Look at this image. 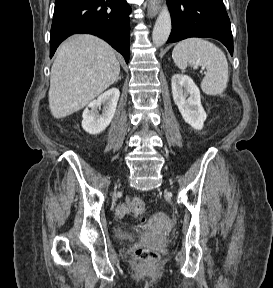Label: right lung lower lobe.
<instances>
[{
    "label": "right lung lower lobe",
    "mask_w": 273,
    "mask_h": 288,
    "mask_svg": "<svg viewBox=\"0 0 273 288\" xmlns=\"http://www.w3.org/2000/svg\"><path fill=\"white\" fill-rule=\"evenodd\" d=\"M130 12L126 0H56L50 32V58L70 35L88 33L104 39L128 63Z\"/></svg>",
    "instance_id": "obj_1"
}]
</instances>
